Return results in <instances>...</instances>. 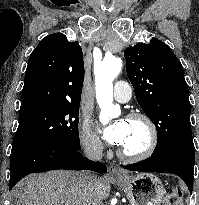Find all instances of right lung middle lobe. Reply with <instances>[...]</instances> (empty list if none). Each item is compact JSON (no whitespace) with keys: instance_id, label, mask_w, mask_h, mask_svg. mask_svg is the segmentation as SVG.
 Returning a JSON list of instances; mask_svg holds the SVG:
<instances>
[{"instance_id":"obj_1","label":"right lung middle lobe","mask_w":199,"mask_h":205,"mask_svg":"<svg viewBox=\"0 0 199 205\" xmlns=\"http://www.w3.org/2000/svg\"><path fill=\"white\" fill-rule=\"evenodd\" d=\"M79 104L41 105L19 112L10 158L50 145L79 148Z\"/></svg>"}]
</instances>
